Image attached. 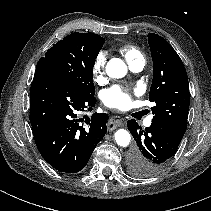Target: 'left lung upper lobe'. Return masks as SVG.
I'll use <instances>...</instances> for the list:
<instances>
[{
	"label": "left lung upper lobe",
	"mask_w": 211,
	"mask_h": 211,
	"mask_svg": "<svg viewBox=\"0 0 211 211\" xmlns=\"http://www.w3.org/2000/svg\"><path fill=\"white\" fill-rule=\"evenodd\" d=\"M148 43L154 67L149 93V101L155 104L151 108L152 124L181 141L190 105L185 67L173 47L161 36L149 33Z\"/></svg>",
	"instance_id": "1"
}]
</instances>
